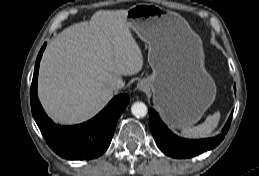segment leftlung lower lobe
<instances>
[{"instance_id": "0a47b994", "label": "left lung lower lobe", "mask_w": 259, "mask_h": 176, "mask_svg": "<svg viewBox=\"0 0 259 176\" xmlns=\"http://www.w3.org/2000/svg\"><path fill=\"white\" fill-rule=\"evenodd\" d=\"M231 119L232 114L223 128V134L217 137L188 140L173 134L162 122L155 110H149V125L156 144L166 155L174 158H190L215 148L223 140L224 134L228 132Z\"/></svg>"}]
</instances>
